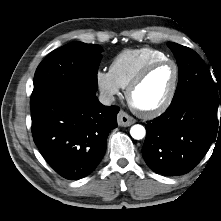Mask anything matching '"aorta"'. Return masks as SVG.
Instances as JSON below:
<instances>
[{
	"instance_id": "1",
	"label": "aorta",
	"mask_w": 221,
	"mask_h": 221,
	"mask_svg": "<svg viewBox=\"0 0 221 221\" xmlns=\"http://www.w3.org/2000/svg\"><path fill=\"white\" fill-rule=\"evenodd\" d=\"M130 134L132 138L140 140L145 137L146 130L142 125L136 124L131 127Z\"/></svg>"
}]
</instances>
